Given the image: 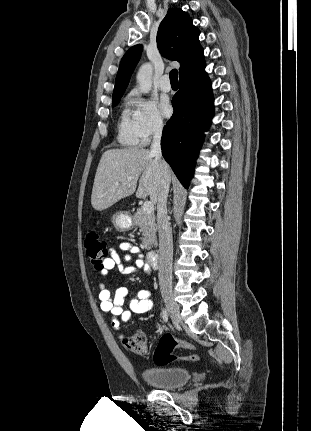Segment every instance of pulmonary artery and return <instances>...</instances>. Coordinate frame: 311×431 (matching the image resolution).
Returning <instances> with one entry per match:
<instances>
[{"instance_id": "obj_1", "label": "pulmonary artery", "mask_w": 311, "mask_h": 431, "mask_svg": "<svg viewBox=\"0 0 311 431\" xmlns=\"http://www.w3.org/2000/svg\"><path fill=\"white\" fill-rule=\"evenodd\" d=\"M159 87L163 92H170L172 89L171 82L169 80L168 75H163L159 81Z\"/></svg>"}]
</instances>
